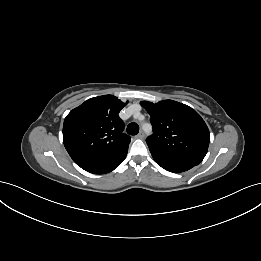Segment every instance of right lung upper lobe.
Returning <instances> with one entry per match:
<instances>
[{
	"instance_id": "cb5924a9",
	"label": "right lung upper lobe",
	"mask_w": 261,
	"mask_h": 261,
	"mask_svg": "<svg viewBox=\"0 0 261 261\" xmlns=\"http://www.w3.org/2000/svg\"><path fill=\"white\" fill-rule=\"evenodd\" d=\"M125 105L113 95H103L70 111L63 124V143L74 162L127 152L130 137L122 133L124 123L118 115Z\"/></svg>"
}]
</instances>
